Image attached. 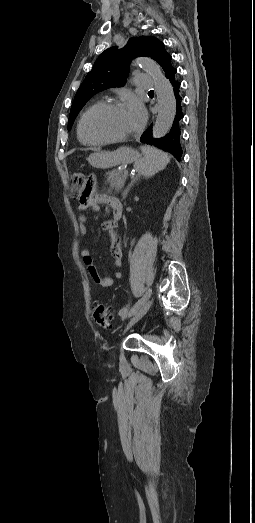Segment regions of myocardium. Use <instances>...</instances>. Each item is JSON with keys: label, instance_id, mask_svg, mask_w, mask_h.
I'll return each instance as SVG.
<instances>
[{"label": "myocardium", "instance_id": "myocardium-1", "mask_svg": "<svg viewBox=\"0 0 255 523\" xmlns=\"http://www.w3.org/2000/svg\"><path fill=\"white\" fill-rule=\"evenodd\" d=\"M127 102L126 101H111V100H107V101H101V102H98L94 105H92L91 107H89L85 112L84 114L82 115L81 119H80V131L82 133V135L89 141L91 142H94V143H115V142H122V141H127L131 138H134L137 136L138 134V131H136L135 133L131 134V135H124V136H117V137H109V138H99V137H94V136H91L87 131H86V128H85V123H86V120L88 118V116L94 112L95 110H98V109H101V108H115V107H121V106H124L126 105Z\"/></svg>", "mask_w": 255, "mask_h": 523}]
</instances>
